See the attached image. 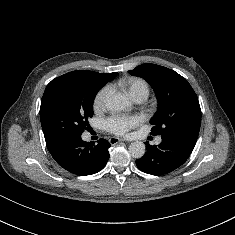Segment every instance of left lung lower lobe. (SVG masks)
Returning <instances> with one entry per match:
<instances>
[{"instance_id": "1", "label": "left lung lower lobe", "mask_w": 235, "mask_h": 235, "mask_svg": "<svg viewBox=\"0 0 235 235\" xmlns=\"http://www.w3.org/2000/svg\"><path fill=\"white\" fill-rule=\"evenodd\" d=\"M198 136L191 134L162 135V142L151 146L146 142L147 152L136 161L137 167L148 174L163 175L180 167L189 157Z\"/></svg>"}]
</instances>
